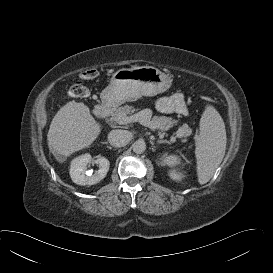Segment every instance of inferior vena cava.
I'll list each match as a JSON object with an SVG mask.
<instances>
[{"label": "inferior vena cava", "instance_id": "1", "mask_svg": "<svg viewBox=\"0 0 273 273\" xmlns=\"http://www.w3.org/2000/svg\"><path fill=\"white\" fill-rule=\"evenodd\" d=\"M131 139V135L126 130L116 129L112 130L108 134V141L113 147H123L125 146Z\"/></svg>", "mask_w": 273, "mask_h": 273}]
</instances>
